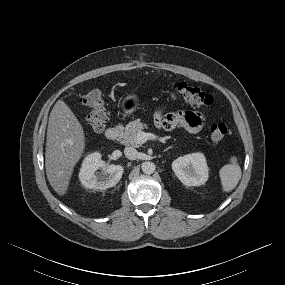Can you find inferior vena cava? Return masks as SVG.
Instances as JSON below:
<instances>
[{"mask_svg":"<svg viewBox=\"0 0 285 285\" xmlns=\"http://www.w3.org/2000/svg\"><path fill=\"white\" fill-rule=\"evenodd\" d=\"M124 154L130 160H135L138 157V151L133 147H126L124 149Z\"/></svg>","mask_w":285,"mask_h":285,"instance_id":"1","label":"inferior vena cava"}]
</instances>
